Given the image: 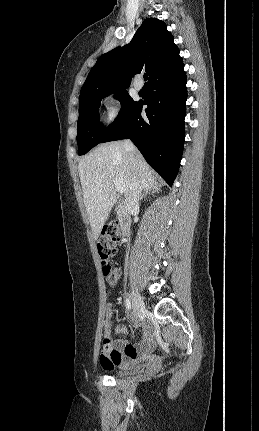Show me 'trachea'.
Instances as JSON below:
<instances>
[{
    "instance_id": "obj_1",
    "label": "trachea",
    "mask_w": 259,
    "mask_h": 431,
    "mask_svg": "<svg viewBox=\"0 0 259 431\" xmlns=\"http://www.w3.org/2000/svg\"><path fill=\"white\" fill-rule=\"evenodd\" d=\"M144 80L146 81L147 79H148V75L147 74H144Z\"/></svg>"
}]
</instances>
